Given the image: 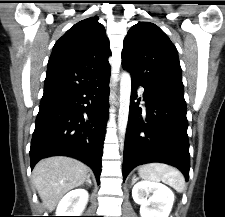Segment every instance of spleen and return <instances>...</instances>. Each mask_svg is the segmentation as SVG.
I'll use <instances>...</instances> for the list:
<instances>
[{
	"label": "spleen",
	"mask_w": 225,
	"mask_h": 217,
	"mask_svg": "<svg viewBox=\"0 0 225 217\" xmlns=\"http://www.w3.org/2000/svg\"><path fill=\"white\" fill-rule=\"evenodd\" d=\"M141 178L149 181H162L173 187L177 192H183L185 187V178L176 168L164 163H148L138 169Z\"/></svg>",
	"instance_id": "obj_1"
}]
</instances>
